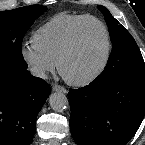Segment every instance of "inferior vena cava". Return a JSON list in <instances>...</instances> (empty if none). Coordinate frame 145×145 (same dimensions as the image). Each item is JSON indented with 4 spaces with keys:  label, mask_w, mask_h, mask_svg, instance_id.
<instances>
[{
    "label": "inferior vena cava",
    "mask_w": 145,
    "mask_h": 145,
    "mask_svg": "<svg viewBox=\"0 0 145 145\" xmlns=\"http://www.w3.org/2000/svg\"><path fill=\"white\" fill-rule=\"evenodd\" d=\"M30 72H31V74L33 76H37V77H41V78H46L44 70L42 68H40V67L34 66V67H32L30 69Z\"/></svg>",
    "instance_id": "obj_1"
}]
</instances>
